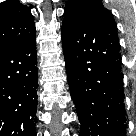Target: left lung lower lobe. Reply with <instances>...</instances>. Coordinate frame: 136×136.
<instances>
[{"label":"left lung lower lobe","instance_id":"obj_1","mask_svg":"<svg viewBox=\"0 0 136 136\" xmlns=\"http://www.w3.org/2000/svg\"><path fill=\"white\" fill-rule=\"evenodd\" d=\"M62 42L81 136H124L123 75L116 25L63 21Z\"/></svg>","mask_w":136,"mask_h":136}]
</instances>
